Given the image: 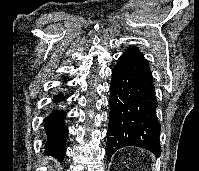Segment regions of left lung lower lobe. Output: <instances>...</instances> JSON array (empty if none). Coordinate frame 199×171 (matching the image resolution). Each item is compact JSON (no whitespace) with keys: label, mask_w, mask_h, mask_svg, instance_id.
<instances>
[{"label":"left lung lower lobe","mask_w":199,"mask_h":171,"mask_svg":"<svg viewBox=\"0 0 199 171\" xmlns=\"http://www.w3.org/2000/svg\"><path fill=\"white\" fill-rule=\"evenodd\" d=\"M109 105L108 160L125 146L161 154L153 78L148 61L136 46L127 48L112 70Z\"/></svg>","instance_id":"obj_1"}]
</instances>
